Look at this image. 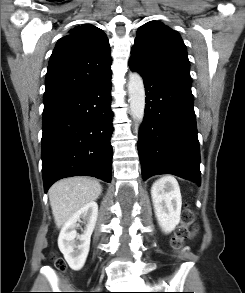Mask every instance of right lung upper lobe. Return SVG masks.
<instances>
[{
	"label": "right lung upper lobe",
	"instance_id": "obj_1",
	"mask_svg": "<svg viewBox=\"0 0 245 293\" xmlns=\"http://www.w3.org/2000/svg\"><path fill=\"white\" fill-rule=\"evenodd\" d=\"M106 34L83 24L59 39L46 75L44 106L60 101L111 74Z\"/></svg>",
	"mask_w": 245,
	"mask_h": 293
}]
</instances>
